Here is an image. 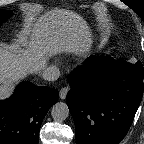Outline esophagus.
Listing matches in <instances>:
<instances>
[{
  "mask_svg": "<svg viewBox=\"0 0 144 144\" xmlns=\"http://www.w3.org/2000/svg\"><path fill=\"white\" fill-rule=\"evenodd\" d=\"M69 91V88L68 87H63L61 90H60V98L62 100H64L67 96V93Z\"/></svg>",
  "mask_w": 144,
  "mask_h": 144,
  "instance_id": "obj_1",
  "label": "esophagus"
}]
</instances>
